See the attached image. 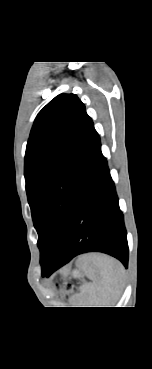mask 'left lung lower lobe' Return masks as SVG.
Masks as SVG:
<instances>
[{
    "mask_svg": "<svg viewBox=\"0 0 152 369\" xmlns=\"http://www.w3.org/2000/svg\"><path fill=\"white\" fill-rule=\"evenodd\" d=\"M91 251L114 256L127 268L123 214L98 134L86 160L62 244L53 260L41 262L42 276H49L76 255Z\"/></svg>",
    "mask_w": 152,
    "mask_h": 369,
    "instance_id": "obj_1",
    "label": "left lung lower lobe"
}]
</instances>
